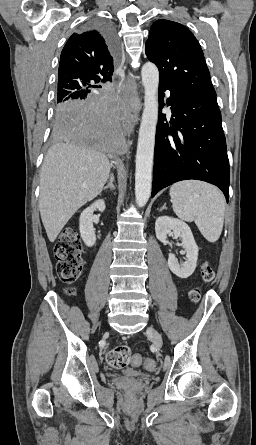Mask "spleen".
<instances>
[{
	"label": "spleen",
	"instance_id": "3e777b00",
	"mask_svg": "<svg viewBox=\"0 0 256 445\" xmlns=\"http://www.w3.org/2000/svg\"><path fill=\"white\" fill-rule=\"evenodd\" d=\"M173 211L182 220L194 221L209 242L222 232L226 201L215 186L194 180L181 181L170 188Z\"/></svg>",
	"mask_w": 256,
	"mask_h": 445
}]
</instances>
